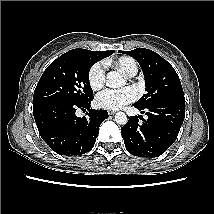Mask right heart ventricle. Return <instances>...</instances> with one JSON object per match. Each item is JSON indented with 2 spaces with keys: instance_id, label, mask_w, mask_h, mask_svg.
Masks as SVG:
<instances>
[{
  "instance_id": "obj_1",
  "label": "right heart ventricle",
  "mask_w": 214,
  "mask_h": 214,
  "mask_svg": "<svg viewBox=\"0 0 214 214\" xmlns=\"http://www.w3.org/2000/svg\"><path fill=\"white\" fill-rule=\"evenodd\" d=\"M114 66L128 76H134L138 71L137 62L129 56H121L115 62Z\"/></svg>"
}]
</instances>
